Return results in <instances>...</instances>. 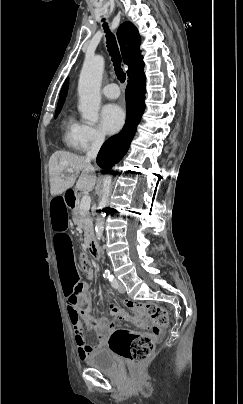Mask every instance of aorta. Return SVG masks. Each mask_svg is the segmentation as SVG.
Returning <instances> with one entry per match:
<instances>
[{
  "instance_id": "762f6f07",
  "label": "aorta",
  "mask_w": 243,
  "mask_h": 404,
  "mask_svg": "<svg viewBox=\"0 0 243 404\" xmlns=\"http://www.w3.org/2000/svg\"><path fill=\"white\" fill-rule=\"evenodd\" d=\"M104 72V58L102 56H86L82 66L79 84V106L78 110L83 120L96 124L99 120V108L101 104L100 86ZM110 171L109 169L107 170ZM112 180L107 174L102 184V196L97 206L95 236L101 240L104 232V217L108 204Z\"/></svg>"
}]
</instances>
